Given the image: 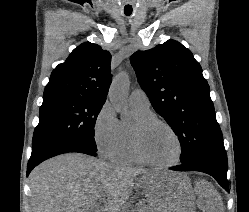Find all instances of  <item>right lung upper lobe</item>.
<instances>
[{"label": "right lung upper lobe", "instance_id": "cb5924a9", "mask_svg": "<svg viewBox=\"0 0 249 212\" xmlns=\"http://www.w3.org/2000/svg\"><path fill=\"white\" fill-rule=\"evenodd\" d=\"M111 54L97 44L85 42L52 72L43 98L81 96L105 103L111 83Z\"/></svg>", "mask_w": 249, "mask_h": 212}]
</instances>
